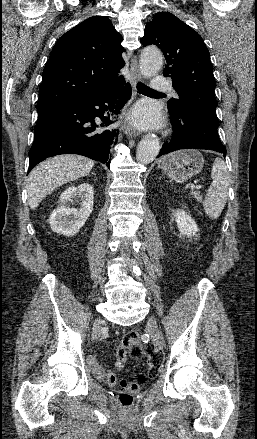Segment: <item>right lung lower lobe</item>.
I'll return each instance as SVG.
<instances>
[{"label":"right lung lower lobe","instance_id":"1","mask_svg":"<svg viewBox=\"0 0 257 439\" xmlns=\"http://www.w3.org/2000/svg\"><path fill=\"white\" fill-rule=\"evenodd\" d=\"M124 84L120 79L100 93L38 111L28 173L44 159L67 153L89 157L110 168V148L117 143L118 130L103 127L112 124L110 115L118 114L130 98L131 86ZM96 117L102 122H95Z\"/></svg>","mask_w":257,"mask_h":439}]
</instances>
